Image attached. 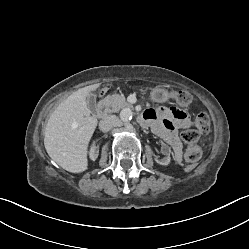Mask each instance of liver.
<instances>
[{"label": "liver", "mask_w": 249, "mask_h": 249, "mask_svg": "<svg viewBox=\"0 0 249 249\" xmlns=\"http://www.w3.org/2000/svg\"><path fill=\"white\" fill-rule=\"evenodd\" d=\"M100 87L93 84L67 97L52 113L46 128L44 146L53 161L72 173L88 168L87 148L97 126L91 116L87 96Z\"/></svg>", "instance_id": "6515ba94"}]
</instances>
